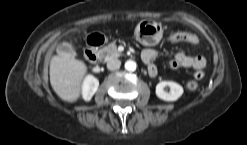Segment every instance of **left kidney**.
<instances>
[{"label": "left kidney", "instance_id": "5707ae66", "mask_svg": "<svg viewBox=\"0 0 247 145\" xmlns=\"http://www.w3.org/2000/svg\"><path fill=\"white\" fill-rule=\"evenodd\" d=\"M170 88V92L164 90L165 87ZM183 94V87L173 81H161L156 86V95L164 101H176Z\"/></svg>", "mask_w": 247, "mask_h": 145}]
</instances>
